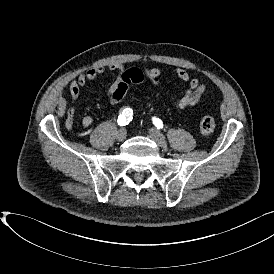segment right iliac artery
Instances as JSON below:
<instances>
[{
    "label": "right iliac artery",
    "mask_w": 274,
    "mask_h": 274,
    "mask_svg": "<svg viewBox=\"0 0 274 274\" xmlns=\"http://www.w3.org/2000/svg\"><path fill=\"white\" fill-rule=\"evenodd\" d=\"M132 114L133 112L132 110H130V108L125 109L118 117V120H117L118 124L120 126L127 125L132 119Z\"/></svg>",
    "instance_id": "obj_1"
}]
</instances>
